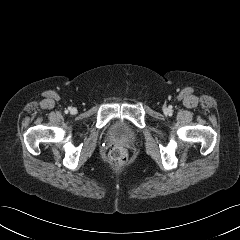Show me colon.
<instances>
[{
  "instance_id": "5ec220e1",
  "label": "colon",
  "mask_w": 240,
  "mask_h": 240,
  "mask_svg": "<svg viewBox=\"0 0 240 240\" xmlns=\"http://www.w3.org/2000/svg\"><path fill=\"white\" fill-rule=\"evenodd\" d=\"M108 162L114 168L123 167L128 159L127 150L122 146H113L108 152Z\"/></svg>"
}]
</instances>
